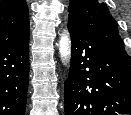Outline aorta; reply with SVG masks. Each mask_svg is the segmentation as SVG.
<instances>
[{
  "label": "aorta",
  "mask_w": 131,
  "mask_h": 115,
  "mask_svg": "<svg viewBox=\"0 0 131 115\" xmlns=\"http://www.w3.org/2000/svg\"><path fill=\"white\" fill-rule=\"evenodd\" d=\"M70 39L67 34L61 35L59 41V52L63 61H66L70 55Z\"/></svg>",
  "instance_id": "762f6f07"
}]
</instances>
